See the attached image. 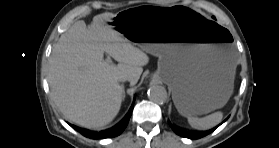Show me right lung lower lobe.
Listing matches in <instances>:
<instances>
[{"label":"right lung lower lobe","instance_id":"98d812e1","mask_svg":"<svg viewBox=\"0 0 279 148\" xmlns=\"http://www.w3.org/2000/svg\"><path fill=\"white\" fill-rule=\"evenodd\" d=\"M132 110H133V105L131 106L129 112L127 113V115L125 116V118L122 121H120L113 128L105 130V131L94 132V131H89V130H85V129L76 127L71 124H70V126L72 128H74L75 130H77L78 132H80L81 134H83L85 137H88L91 139H104V138H109V137L113 138V137L120 135L124 131V129L126 128V126L128 124V121L130 119Z\"/></svg>","mask_w":279,"mask_h":148}]
</instances>
